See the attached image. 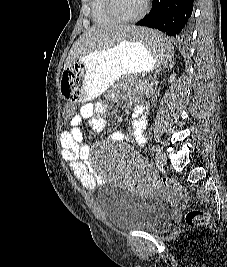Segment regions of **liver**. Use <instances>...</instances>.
Listing matches in <instances>:
<instances>
[{
    "label": "liver",
    "instance_id": "obj_1",
    "mask_svg": "<svg viewBox=\"0 0 227 267\" xmlns=\"http://www.w3.org/2000/svg\"><path fill=\"white\" fill-rule=\"evenodd\" d=\"M121 26L99 25L86 30L72 46L64 64V69L67 68V64H71L80 57L108 49L123 40L130 39L127 38V33H133V30H122Z\"/></svg>",
    "mask_w": 227,
    "mask_h": 267
}]
</instances>
